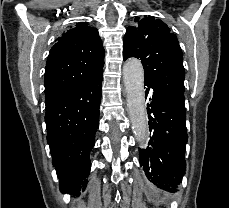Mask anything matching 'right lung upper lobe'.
Instances as JSON below:
<instances>
[{
  "mask_svg": "<svg viewBox=\"0 0 229 208\" xmlns=\"http://www.w3.org/2000/svg\"><path fill=\"white\" fill-rule=\"evenodd\" d=\"M57 40L45 69V102L91 79L104 65L102 41L87 22L76 23Z\"/></svg>",
  "mask_w": 229,
  "mask_h": 208,
  "instance_id": "right-lung-upper-lobe-1",
  "label": "right lung upper lobe"
}]
</instances>
